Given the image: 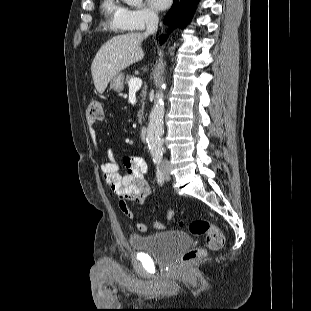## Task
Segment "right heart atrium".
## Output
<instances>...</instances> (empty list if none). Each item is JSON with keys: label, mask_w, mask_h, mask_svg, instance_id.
I'll use <instances>...</instances> for the list:
<instances>
[{"label": "right heart atrium", "mask_w": 311, "mask_h": 311, "mask_svg": "<svg viewBox=\"0 0 311 311\" xmlns=\"http://www.w3.org/2000/svg\"><path fill=\"white\" fill-rule=\"evenodd\" d=\"M157 19V13L152 8L146 6L127 9L125 15L126 25L133 31L143 30L148 25L155 23Z\"/></svg>", "instance_id": "d8ad5b80"}]
</instances>
